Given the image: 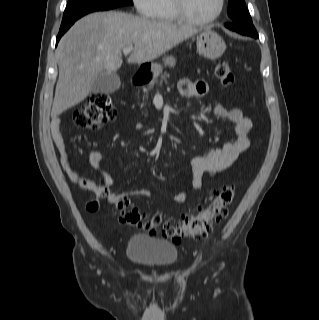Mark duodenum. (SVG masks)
<instances>
[{"label": "duodenum", "instance_id": "410a0bca", "mask_svg": "<svg viewBox=\"0 0 319 320\" xmlns=\"http://www.w3.org/2000/svg\"><path fill=\"white\" fill-rule=\"evenodd\" d=\"M148 74H144L143 72L139 71L132 79V83L134 86H139L148 81Z\"/></svg>", "mask_w": 319, "mask_h": 320}]
</instances>
